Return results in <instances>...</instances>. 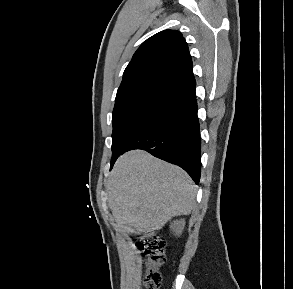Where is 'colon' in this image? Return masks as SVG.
I'll list each match as a JSON object with an SVG mask.
<instances>
[{
  "mask_svg": "<svg viewBox=\"0 0 293 289\" xmlns=\"http://www.w3.org/2000/svg\"><path fill=\"white\" fill-rule=\"evenodd\" d=\"M137 246L147 258L144 278L145 288L160 289L162 283L160 267L166 261L164 239L158 235L144 234L138 238Z\"/></svg>",
  "mask_w": 293,
  "mask_h": 289,
  "instance_id": "5ec220e1",
  "label": "colon"
}]
</instances>
